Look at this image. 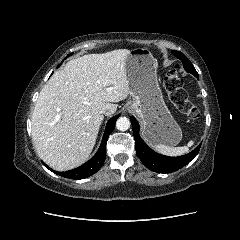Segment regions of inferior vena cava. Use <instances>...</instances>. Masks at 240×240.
I'll use <instances>...</instances> for the list:
<instances>
[{"label":"inferior vena cava","mask_w":240,"mask_h":240,"mask_svg":"<svg viewBox=\"0 0 240 240\" xmlns=\"http://www.w3.org/2000/svg\"><path fill=\"white\" fill-rule=\"evenodd\" d=\"M101 113H103V114H107V111H106V110H103Z\"/></svg>","instance_id":"obj_1"}]
</instances>
